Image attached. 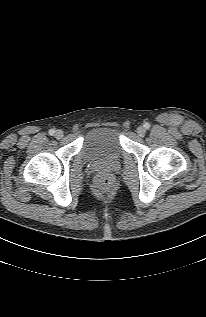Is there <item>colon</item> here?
<instances>
[{
    "label": "colon",
    "instance_id": "5ec220e1",
    "mask_svg": "<svg viewBox=\"0 0 206 317\" xmlns=\"http://www.w3.org/2000/svg\"><path fill=\"white\" fill-rule=\"evenodd\" d=\"M113 185V179L108 175L99 176L96 179L95 187L98 192L105 193L108 192Z\"/></svg>",
    "mask_w": 206,
    "mask_h": 317
}]
</instances>
